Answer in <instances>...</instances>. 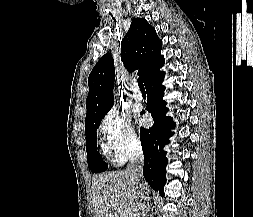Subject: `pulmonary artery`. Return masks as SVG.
Masks as SVG:
<instances>
[{
  "label": "pulmonary artery",
  "instance_id": "e3ab8cb5",
  "mask_svg": "<svg viewBox=\"0 0 253 217\" xmlns=\"http://www.w3.org/2000/svg\"><path fill=\"white\" fill-rule=\"evenodd\" d=\"M132 89H133L132 96H133L134 100L141 101L143 99V95L139 91V89L137 87V84H134L133 87H132Z\"/></svg>",
  "mask_w": 253,
  "mask_h": 217
}]
</instances>
